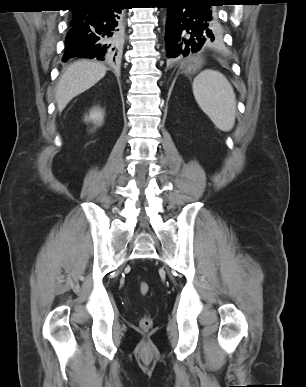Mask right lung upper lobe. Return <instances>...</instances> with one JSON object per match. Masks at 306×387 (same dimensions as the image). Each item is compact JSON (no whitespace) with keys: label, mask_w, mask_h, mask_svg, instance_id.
<instances>
[{"label":"right lung upper lobe","mask_w":306,"mask_h":387,"mask_svg":"<svg viewBox=\"0 0 306 387\" xmlns=\"http://www.w3.org/2000/svg\"><path fill=\"white\" fill-rule=\"evenodd\" d=\"M81 4H87V3H97L103 0H77Z\"/></svg>","instance_id":"obj_1"}]
</instances>
